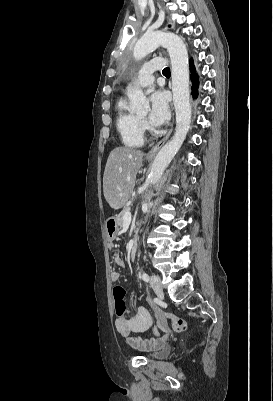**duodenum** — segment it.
I'll return each mask as SVG.
<instances>
[{"instance_id":"1","label":"duodenum","mask_w":273,"mask_h":401,"mask_svg":"<svg viewBox=\"0 0 273 401\" xmlns=\"http://www.w3.org/2000/svg\"><path fill=\"white\" fill-rule=\"evenodd\" d=\"M136 254H137V242L136 240H134L130 248V257L132 260L135 259Z\"/></svg>"}]
</instances>
